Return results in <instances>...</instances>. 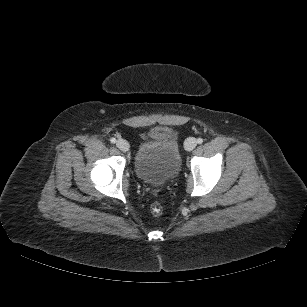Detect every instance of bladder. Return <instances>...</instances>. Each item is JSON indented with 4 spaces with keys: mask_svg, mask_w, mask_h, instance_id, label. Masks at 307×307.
Listing matches in <instances>:
<instances>
[{
    "mask_svg": "<svg viewBox=\"0 0 307 307\" xmlns=\"http://www.w3.org/2000/svg\"><path fill=\"white\" fill-rule=\"evenodd\" d=\"M152 133L166 134L168 139L143 141L135 153L134 170L143 182L163 185L173 180L180 171L178 141L169 129L155 128Z\"/></svg>",
    "mask_w": 307,
    "mask_h": 307,
    "instance_id": "1",
    "label": "bladder"
}]
</instances>
